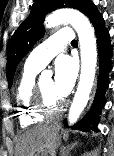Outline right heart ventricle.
Wrapping results in <instances>:
<instances>
[{"label": "right heart ventricle", "instance_id": "obj_1", "mask_svg": "<svg viewBox=\"0 0 114 156\" xmlns=\"http://www.w3.org/2000/svg\"><path fill=\"white\" fill-rule=\"evenodd\" d=\"M40 70V68L25 63L16 85V111L20 125L23 128L36 124L44 118V116L35 109L33 104L35 79Z\"/></svg>", "mask_w": 114, "mask_h": 156}]
</instances>
